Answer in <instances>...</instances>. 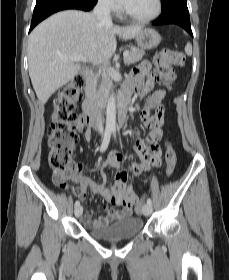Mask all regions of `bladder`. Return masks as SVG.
I'll use <instances>...</instances> for the list:
<instances>
[{
    "label": "bladder",
    "mask_w": 229,
    "mask_h": 280,
    "mask_svg": "<svg viewBox=\"0 0 229 280\" xmlns=\"http://www.w3.org/2000/svg\"><path fill=\"white\" fill-rule=\"evenodd\" d=\"M144 227V221L135 216L120 218L105 227H86L95 238L115 241L138 236Z\"/></svg>",
    "instance_id": "1"
}]
</instances>
